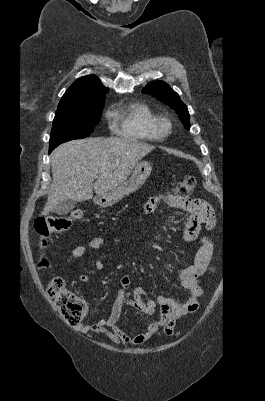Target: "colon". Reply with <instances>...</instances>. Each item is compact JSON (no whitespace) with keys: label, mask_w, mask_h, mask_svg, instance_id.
I'll return each mask as SVG.
<instances>
[{"label":"colon","mask_w":265,"mask_h":401,"mask_svg":"<svg viewBox=\"0 0 265 401\" xmlns=\"http://www.w3.org/2000/svg\"><path fill=\"white\" fill-rule=\"evenodd\" d=\"M197 184L193 175H187L174 188L173 194L180 197L189 196ZM83 211L75 209L62 216L38 217L34 220V231L38 236V247L42 249L46 245V239L54 232L68 229L73 221L80 220ZM40 265L46 267L48 262L42 258ZM47 294L54 301V304L62 319L69 325H78L85 317L87 312L86 302L65 286V282L60 277L51 279L47 285ZM166 335L173 333V328L166 323L163 328Z\"/></svg>","instance_id":"obj_1"}]
</instances>
